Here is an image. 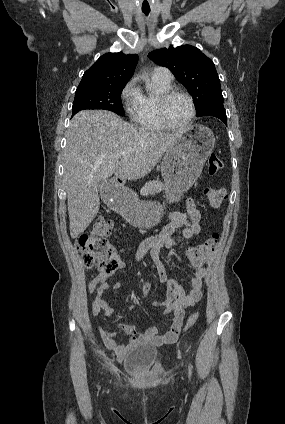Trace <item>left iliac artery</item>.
<instances>
[{
    "label": "left iliac artery",
    "instance_id": "1",
    "mask_svg": "<svg viewBox=\"0 0 285 424\" xmlns=\"http://www.w3.org/2000/svg\"><path fill=\"white\" fill-rule=\"evenodd\" d=\"M189 376H191V374H192V366H191V364L189 365Z\"/></svg>",
    "mask_w": 285,
    "mask_h": 424
}]
</instances>
